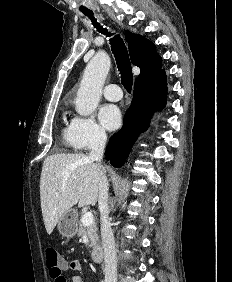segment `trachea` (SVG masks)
I'll return each instance as SVG.
<instances>
[{"mask_svg": "<svg viewBox=\"0 0 232 282\" xmlns=\"http://www.w3.org/2000/svg\"><path fill=\"white\" fill-rule=\"evenodd\" d=\"M85 15L91 19L92 24L94 25L95 28H97L99 32L107 35L108 37L114 35V33L110 34L106 28H102V26H100L99 23H97V20L93 17L92 12L85 13ZM110 44H111V48H112L114 57L116 59L118 69L121 74V82L124 88L128 92H130L132 89V84H133V74H132V69H131V64H130L127 48L119 35H115L114 37H112L110 39Z\"/></svg>", "mask_w": 232, "mask_h": 282, "instance_id": "obj_1", "label": "trachea"}]
</instances>
